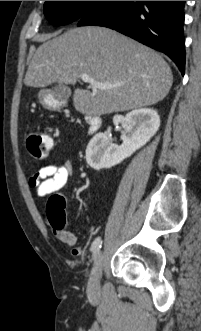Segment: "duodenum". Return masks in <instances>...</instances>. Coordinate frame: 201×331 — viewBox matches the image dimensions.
<instances>
[{
	"mask_svg": "<svg viewBox=\"0 0 201 331\" xmlns=\"http://www.w3.org/2000/svg\"><path fill=\"white\" fill-rule=\"evenodd\" d=\"M88 123V133L92 134L99 129L102 124V118L97 115H88L86 117Z\"/></svg>",
	"mask_w": 201,
	"mask_h": 331,
	"instance_id": "obj_1",
	"label": "duodenum"
}]
</instances>
